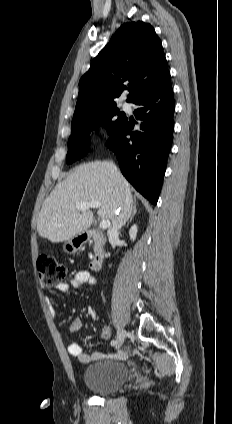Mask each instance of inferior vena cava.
<instances>
[{
	"instance_id": "obj_1",
	"label": "inferior vena cava",
	"mask_w": 232,
	"mask_h": 424,
	"mask_svg": "<svg viewBox=\"0 0 232 424\" xmlns=\"http://www.w3.org/2000/svg\"><path fill=\"white\" fill-rule=\"evenodd\" d=\"M113 164V163H112ZM132 196L126 195L123 205L117 210L116 216L112 219V226L108 230L109 235L117 234L131 215Z\"/></svg>"
}]
</instances>
